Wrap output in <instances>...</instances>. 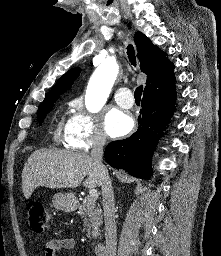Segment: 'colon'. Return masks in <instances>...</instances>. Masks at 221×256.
Wrapping results in <instances>:
<instances>
[{
    "label": "colon",
    "mask_w": 221,
    "mask_h": 256,
    "mask_svg": "<svg viewBox=\"0 0 221 256\" xmlns=\"http://www.w3.org/2000/svg\"><path fill=\"white\" fill-rule=\"evenodd\" d=\"M28 220L34 232H43L50 227L51 216L44 205L36 200H32L27 205Z\"/></svg>",
    "instance_id": "5ec220e1"
}]
</instances>
